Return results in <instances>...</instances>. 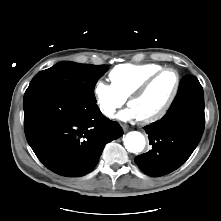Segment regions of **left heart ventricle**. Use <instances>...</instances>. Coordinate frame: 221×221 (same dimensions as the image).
Returning <instances> with one entry per match:
<instances>
[{
  "label": "left heart ventricle",
  "mask_w": 221,
  "mask_h": 221,
  "mask_svg": "<svg viewBox=\"0 0 221 221\" xmlns=\"http://www.w3.org/2000/svg\"><path fill=\"white\" fill-rule=\"evenodd\" d=\"M176 84L175 74L171 71L161 74L140 97L129 102L138 118L149 117L160 111L171 96Z\"/></svg>",
  "instance_id": "left-heart-ventricle-1"
}]
</instances>
